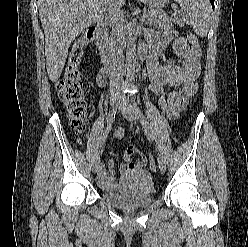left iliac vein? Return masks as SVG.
Returning a JSON list of instances; mask_svg holds the SVG:
<instances>
[{
    "label": "left iliac vein",
    "instance_id": "obj_1",
    "mask_svg": "<svg viewBox=\"0 0 248 247\" xmlns=\"http://www.w3.org/2000/svg\"><path fill=\"white\" fill-rule=\"evenodd\" d=\"M126 114H127L128 119L130 121H134V122L137 121L138 115H137V112H136L135 108L132 109L131 111H129L128 113H126ZM157 160H158V165H159L160 171L162 173H164L165 170H166V160H165V158L161 154H159Z\"/></svg>",
    "mask_w": 248,
    "mask_h": 247
}]
</instances>
